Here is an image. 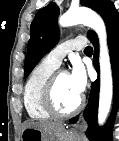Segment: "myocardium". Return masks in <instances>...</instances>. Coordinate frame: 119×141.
Here are the masks:
<instances>
[{"label":"myocardium","mask_w":119,"mask_h":141,"mask_svg":"<svg viewBox=\"0 0 119 141\" xmlns=\"http://www.w3.org/2000/svg\"><path fill=\"white\" fill-rule=\"evenodd\" d=\"M61 73L67 74V72L64 70H57L54 71L51 74V76L48 78L42 92V104H43V108L50 116L56 118H67L75 115L80 111V109L83 106V99L80 97L77 105L69 111H62L57 107L55 102V86H56L57 78Z\"/></svg>","instance_id":"1"}]
</instances>
